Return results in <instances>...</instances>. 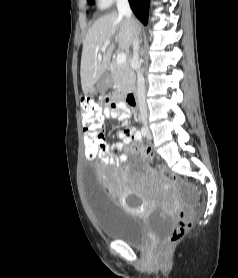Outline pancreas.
Masks as SVG:
<instances>
[{
  "label": "pancreas",
  "mask_w": 238,
  "mask_h": 278,
  "mask_svg": "<svg viewBox=\"0 0 238 278\" xmlns=\"http://www.w3.org/2000/svg\"><path fill=\"white\" fill-rule=\"evenodd\" d=\"M110 70L114 85L120 92L128 93L134 89L135 74L129 64L119 65L113 62Z\"/></svg>",
  "instance_id": "obj_1"
}]
</instances>
